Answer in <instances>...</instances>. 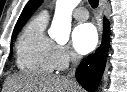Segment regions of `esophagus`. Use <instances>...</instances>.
I'll use <instances>...</instances> for the list:
<instances>
[{
	"label": "esophagus",
	"mask_w": 127,
	"mask_h": 92,
	"mask_svg": "<svg viewBox=\"0 0 127 92\" xmlns=\"http://www.w3.org/2000/svg\"><path fill=\"white\" fill-rule=\"evenodd\" d=\"M105 3H106V0L99 1V7H100L101 11H103L105 9Z\"/></svg>",
	"instance_id": "1"
}]
</instances>
